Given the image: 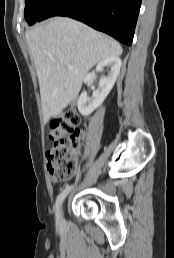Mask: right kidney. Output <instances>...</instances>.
<instances>
[{"label":"right kidney","instance_id":"1","mask_svg":"<svg viewBox=\"0 0 174 258\" xmlns=\"http://www.w3.org/2000/svg\"><path fill=\"white\" fill-rule=\"evenodd\" d=\"M121 64L122 62L119 57H110L97 64L95 69L96 73L103 70L104 68H108L109 73L107 76H104L100 79L99 87L93 92L92 97H88L86 92L81 93L78 99V110L83 116L90 115L106 99L116 82L120 72ZM95 72L86 76V83L92 81L95 78Z\"/></svg>","mask_w":174,"mask_h":258}]
</instances>
